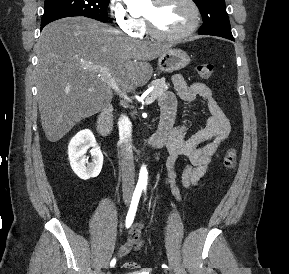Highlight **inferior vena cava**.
<instances>
[{
  "instance_id": "1",
  "label": "inferior vena cava",
  "mask_w": 289,
  "mask_h": 274,
  "mask_svg": "<svg viewBox=\"0 0 289 274\" xmlns=\"http://www.w3.org/2000/svg\"><path fill=\"white\" fill-rule=\"evenodd\" d=\"M131 122L125 116L119 119V145L121 148L122 191L131 196L134 190L135 166L132 151Z\"/></svg>"
}]
</instances>
